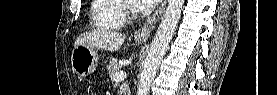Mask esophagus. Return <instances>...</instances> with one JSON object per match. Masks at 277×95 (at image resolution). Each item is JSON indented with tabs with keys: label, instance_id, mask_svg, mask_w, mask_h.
Returning a JSON list of instances; mask_svg holds the SVG:
<instances>
[{
	"label": "esophagus",
	"instance_id": "esophagus-1",
	"mask_svg": "<svg viewBox=\"0 0 277 95\" xmlns=\"http://www.w3.org/2000/svg\"><path fill=\"white\" fill-rule=\"evenodd\" d=\"M166 4L167 0H164L161 3L160 7L147 19L145 24L134 33V37L136 39H147L149 37L152 30L155 28L158 21L160 20L165 10Z\"/></svg>",
	"mask_w": 277,
	"mask_h": 95
}]
</instances>
